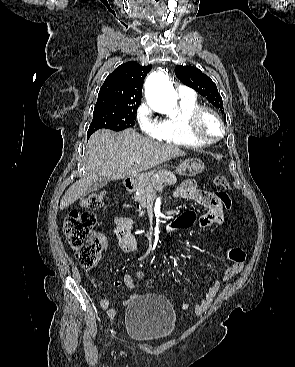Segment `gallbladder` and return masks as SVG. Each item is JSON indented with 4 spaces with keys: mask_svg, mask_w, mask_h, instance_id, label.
<instances>
[{
    "mask_svg": "<svg viewBox=\"0 0 295 367\" xmlns=\"http://www.w3.org/2000/svg\"><path fill=\"white\" fill-rule=\"evenodd\" d=\"M110 180L107 178H100L95 183H93L90 188L88 189L87 193H93L95 191H98L99 189L103 188L108 184Z\"/></svg>",
    "mask_w": 295,
    "mask_h": 367,
    "instance_id": "gallbladder-1",
    "label": "gallbladder"
}]
</instances>
